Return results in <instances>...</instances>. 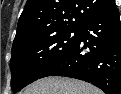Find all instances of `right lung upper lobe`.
<instances>
[{
	"instance_id": "right-lung-upper-lobe-1",
	"label": "right lung upper lobe",
	"mask_w": 121,
	"mask_h": 94,
	"mask_svg": "<svg viewBox=\"0 0 121 94\" xmlns=\"http://www.w3.org/2000/svg\"><path fill=\"white\" fill-rule=\"evenodd\" d=\"M114 0H27L13 45L33 32L79 29L87 19L107 11Z\"/></svg>"
}]
</instances>
